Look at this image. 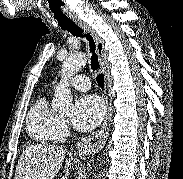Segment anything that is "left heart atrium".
Masks as SVG:
<instances>
[{
  "label": "left heart atrium",
  "mask_w": 183,
  "mask_h": 179,
  "mask_svg": "<svg viewBox=\"0 0 183 179\" xmlns=\"http://www.w3.org/2000/svg\"><path fill=\"white\" fill-rule=\"evenodd\" d=\"M104 115L105 107L99 97L82 96L75 103L72 122L78 130L89 131L101 122Z\"/></svg>",
  "instance_id": "1"
}]
</instances>
